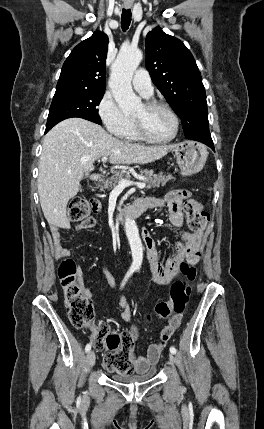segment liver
Returning a JSON list of instances; mask_svg holds the SVG:
<instances>
[{"label":"liver","mask_w":264,"mask_h":429,"mask_svg":"<svg viewBox=\"0 0 264 429\" xmlns=\"http://www.w3.org/2000/svg\"><path fill=\"white\" fill-rule=\"evenodd\" d=\"M175 145L143 146L119 140L82 118L66 119L44 137L37 180L40 204L50 226L70 229L68 201L77 195L95 160L112 164H146L164 157Z\"/></svg>","instance_id":"liver-1"}]
</instances>
